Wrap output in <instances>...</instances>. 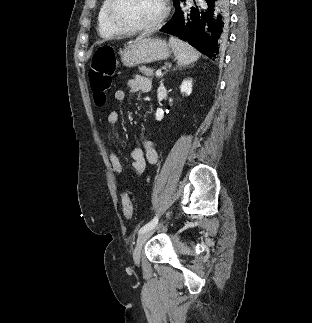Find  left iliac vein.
<instances>
[{"instance_id": "obj_1", "label": "left iliac vein", "mask_w": 312, "mask_h": 323, "mask_svg": "<svg viewBox=\"0 0 312 323\" xmlns=\"http://www.w3.org/2000/svg\"><path fill=\"white\" fill-rule=\"evenodd\" d=\"M153 232H154V229L151 228L150 230L144 231L139 235L133 252V259L135 263H139L141 249L144 243L146 242V240L151 236Z\"/></svg>"}]
</instances>
